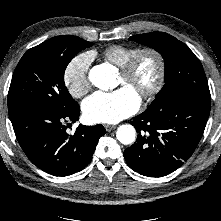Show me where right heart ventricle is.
Segmentation results:
<instances>
[{"instance_id":"1","label":"right heart ventricle","mask_w":221,"mask_h":221,"mask_svg":"<svg viewBox=\"0 0 221 221\" xmlns=\"http://www.w3.org/2000/svg\"><path fill=\"white\" fill-rule=\"evenodd\" d=\"M140 50L138 47L126 45H112L106 48L103 56L106 60L122 68L130 58Z\"/></svg>"}]
</instances>
